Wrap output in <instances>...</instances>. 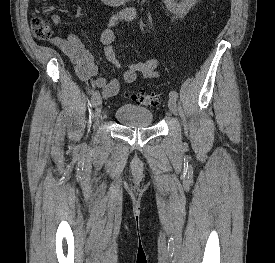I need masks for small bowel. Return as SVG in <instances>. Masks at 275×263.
<instances>
[{
  "label": "small bowel",
  "instance_id": "small-bowel-1",
  "mask_svg": "<svg viewBox=\"0 0 275 263\" xmlns=\"http://www.w3.org/2000/svg\"><path fill=\"white\" fill-rule=\"evenodd\" d=\"M140 14L137 10L126 8L118 11L109 20L107 27L100 34V43L103 46V53L117 69L121 70V80L125 83H133L140 76L144 79L155 78L159 75V60L154 58L140 62H125L123 65L118 52L114 47V28L121 22H135ZM55 22H58L55 19ZM52 44L67 56L74 64L78 78L86 83L89 91L101 90V96L109 99L116 96L121 87V81L117 78L110 80L98 76L99 68L95 64L93 54L85 46L84 42L75 34H68L65 37H54Z\"/></svg>",
  "mask_w": 275,
  "mask_h": 263
}]
</instances>
